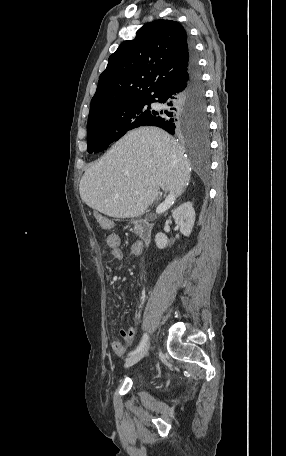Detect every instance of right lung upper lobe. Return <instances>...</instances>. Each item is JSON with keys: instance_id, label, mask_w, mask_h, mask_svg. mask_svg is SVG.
I'll return each mask as SVG.
<instances>
[{"instance_id": "obj_1", "label": "right lung upper lobe", "mask_w": 286, "mask_h": 456, "mask_svg": "<svg viewBox=\"0 0 286 456\" xmlns=\"http://www.w3.org/2000/svg\"><path fill=\"white\" fill-rule=\"evenodd\" d=\"M191 57L180 23L161 19L145 24L109 57L88 120L116 104L156 99L186 76Z\"/></svg>"}]
</instances>
